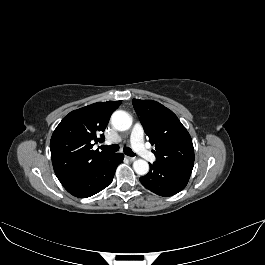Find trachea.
<instances>
[{"mask_svg": "<svg viewBox=\"0 0 265 265\" xmlns=\"http://www.w3.org/2000/svg\"><path fill=\"white\" fill-rule=\"evenodd\" d=\"M100 148L108 153H115L119 150V145H103L100 146ZM124 153L128 156L134 157L136 154L128 147L124 148Z\"/></svg>", "mask_w": 265, "mask_h": 265, "instance_id": "trachea-1", "label": "trachea"}]
</instances>
